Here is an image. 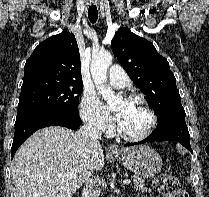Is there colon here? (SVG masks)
<instances>
[{"instance_id": "colon-1", "label": "colon", "mask_w": 209, "mask_h": 197, "mask_svg": "<svg viewBox=\"0 0 209 197\" xmlns=\"http://www.w3.org/2000/svg\"><path fill=\"white\" fill-rule=\"evenodd\" d=\"M155 183L160 187L165 197H189L180 187L178 179L174 176L167 174L161 175Z\"/></svg>"}]
</instances>
